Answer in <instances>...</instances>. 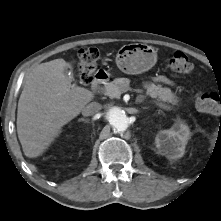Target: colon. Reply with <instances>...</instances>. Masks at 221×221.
<instances>
[{
  "mask_svg": "<svg viewBox=\"0 0 221 221\" xmlns=\"http://www.w3.org/2000/svg\"><path fill=\"white\" fill-rule=\"evenodd\" d=\"M78 58V77L81 82L89 83L97 71L100 53L96 48H84L78 51ZM166 66L179 74H189L194 68L190 58L182 52L173 53L167 59ZM195 105L202 112L216 113L221 107V94L200 91L195 97Z\"/></svg>",
  "mask_w": 221,
  "mask_h": 221,
  "instance_id": "1",
  "label": "colon"
}]
</instances>
